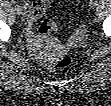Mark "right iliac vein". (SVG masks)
Returning <instances> with one entry per match:
<instances>
[{
	"label": "right iliac vein",
	"mask_w": 111,
	"mask_h": 106,
	"mask_svg": "<svg viewBox=\"0 0 111 106\" xmlns=\"http://www.w3.org/2000/svg\"><path fill=\"white\" fill-rule=\"evenodd\" d=\"M15 12L17 15H21L23 13V9L20 6H15Z\"/></svg>",
	"instance_id": "right-iliac-vein-1"
}]
</instances>
